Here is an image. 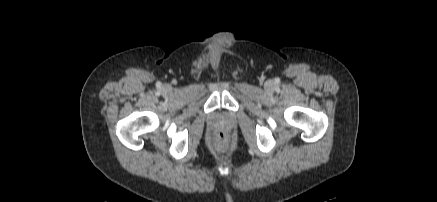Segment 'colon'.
<instances>
[{
	"instance_id": "colon-1",
	"label": "colon",
	"mask_w": 437,
	"mask_h": 202,
	"mask_svg": "<svg viewBox=\"0 0 437 202\" xmlns=\"http://www.w3.org/2000/svg\"><path fill=\"white\" fill-rule=\"evenodd\" d=\"M215 144L218 149H224L228 145V137L226 134L220 132L215 138Z\"/></svg>"
}]
</instances>
